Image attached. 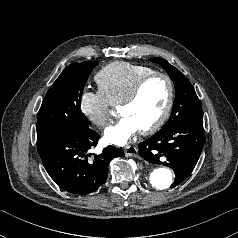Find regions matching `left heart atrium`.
Returning <instances> with one entry per match:
<instances>
[{"label": "left heart atrium", "mask_w": 238, "mask_h": 238, "mask_svg": "<svg viewBox=\"0 0 238 238\" xmlns=\"http://www.w3.org/2000/svg\"><path fill=\"white\" fill-rule=\"evenodd\" d=\"M140 131L138 125L128 116H123L116 124L105 130L107 142L123 146Z\"/></svg>", "instance_id": "left-heart-atrium-1"}]
</instances>
